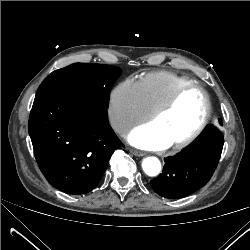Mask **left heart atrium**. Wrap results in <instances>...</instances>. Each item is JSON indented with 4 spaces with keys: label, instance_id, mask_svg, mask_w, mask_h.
Returning a JSON list of instances; mask_svg holds the SVG:
<instances>
[{
    "label": "left heart atrium",
    "instance_id": "1",
    "mask_svg": "<svg viewBox=\"0 0 250 250\" xmlns=\"http://www.w3.org/2000/svg\"><path fill=\"white\" fill-rule=\"evenodd\" d=\"M127 139L134 146L147 150H162L171 145L152 123L135 128Z\"/></svg>",
    "mask_w": 250,
    "mask_h": 250
}]
</instances>
